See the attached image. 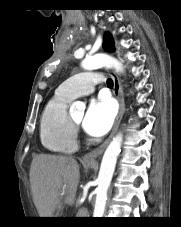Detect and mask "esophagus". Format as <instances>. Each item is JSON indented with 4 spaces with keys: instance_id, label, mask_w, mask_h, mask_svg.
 Returning a JSON list of instances; mask_svg holds the SVG:
<instances>
[{
    "instance_id": "esophagus-1",
    "label": "esophagus",
    "mask_w": 181,
    "mask_h": 227,
    "mask_svg": "<svg viewBox=\"0 0 181 227\" xmlns=\"http://www.w3.org/2000/svg\"><path fill=\"white\" fill-rule=\"evenodd\" d=\"M109 74L111 75L114 82L113 93L119 102V112L116 117L115 124L113 126L110 136L99 147L90 151L83 157V161L87 163L94 162L98 157H100L103 154L105 148L107 147V145L109 144L113 136L115 135L124 113V97H123V90L121 87L119 77L113 70H109Z\"/></svg>"
}]
</instances>
